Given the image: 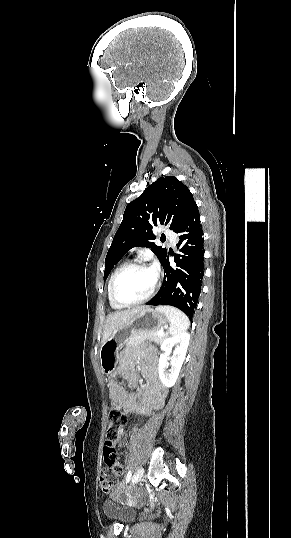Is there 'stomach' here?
Listing matches in <instances>:
<instances>
[{
  "mask_svg": "<svg viewBox=\"0 0 291 538\" xmlns=\"http://www.w3.org/2000/svg\"><path fill=\"white\" fill-rule=\"evenodd\" d=\"M168 318L165 314L147 307L137 313L130 323L116 330L101 346V369L107 377L118 364L119 348L132 336L140 332L157 331L163 329ZM117 370V369H116Z\"/></svg>",
  "mask_w": 291,
  "mask_h": 538,
  "instance_id": "0dacf381",
  "label": "stomach"
}]
</instances>
